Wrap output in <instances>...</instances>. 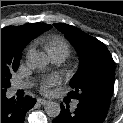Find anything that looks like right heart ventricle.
<instances>
[{
    "mask_svg": "<svg viewBox=\"0 0 123 123\" xmlns=\"http://www.w3.org/2000/svg\"><path fill=\"white\" fill-rule=\"evenodd\" d=\"M46 48L51 56L57 53H64L68 55L70 52V46L68 42L58 36H53L47 39Z\"/></svg>",
    "mask_w": 123,
    "mask_h": 123,
    "instance_id": "1",
    "label": "right heart ventricle"
}]
</instances>
